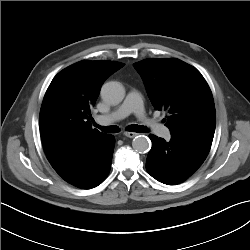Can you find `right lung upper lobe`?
<instances>
[{
    "instance_id": "obj_1",
    "label": "right lung upper lobe",
    "mask_w": 250,
    "mask_h": 250,
    "mask_svg": "<svg viewBox=\"0 0 250 250\" xmlns=\"http://www.w3.org/2000/svg\"><path fill=\"white\" fill-rule=\"evenodd\" d=\"M124 66L115 61H80L50 83L40 110V132L50 164L103 135L91 127V109L104 81Z\"/></svg>"
}]
</instances>
